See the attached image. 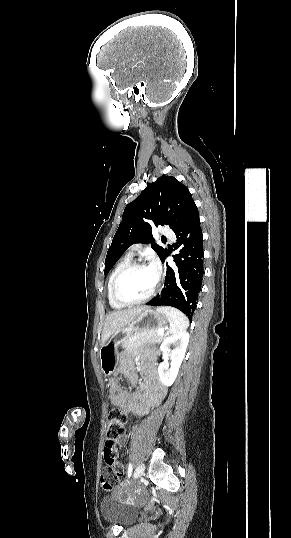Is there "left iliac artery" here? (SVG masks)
Returning a JSON list of instances; mask_svg holds the SVG:
<instances>
[{
	"label": "left iliac artery",
	"instance_id": "left-iliac-artery-1",
	"mask_svg": "<svg viewBox=\"0 0 291 538\" xmlns=\"http://www.w3.org/2000/svg\"><path fill=\"white\" fill-rule=\"evenodd\" d=\"M132 468H133V467H132V464L129 463V466H128V473H127L128 478H129V477L131 476V474H132Z\"/></svg>",
	"mask_w": 291,
	"mask_h": 538
}]
</instances>
